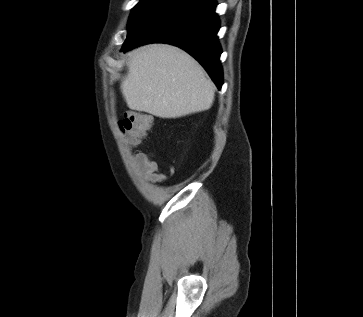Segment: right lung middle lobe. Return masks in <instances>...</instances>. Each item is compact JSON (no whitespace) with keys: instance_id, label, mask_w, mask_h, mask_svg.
<instances>
[{"instance_id":"dd1d6c3e","label":"right lung middle lobe","mask_w":363,"mask_h":317,"mask_svg":"<svg viewBox=\"0 0 363 317\" xmlns=\"http://www.w3.org/2000/svg\"><path fill=\"white\" fill-rule=\"evenodd\" d=\"M183 0H141L132 10L125 42L133 40L155 18Z\"/></svg>"}]
</instances>
